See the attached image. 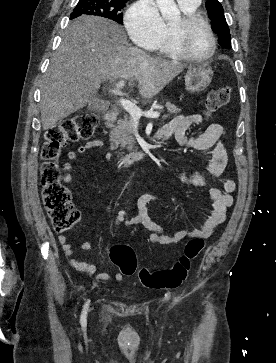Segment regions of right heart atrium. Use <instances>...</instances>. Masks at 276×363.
Masks as SVG:
<instances>
[{
  "label": "right heart atrium",
  "instance_id": "obj_1",
  "mask_svg": "<svg viewBox=\"0 0 276 363\" xmlns=\"http://www.w3.org/2000/svg\"><path fill=\"white\" fill-rule=\"evenodd\" d=\"M125 25L139 46L153 49L163 35L165 23L153 0H138L125 15Z\"/></svg>",
  "mask_w": 276,
  "mask_h": 363
}]
</instances>
